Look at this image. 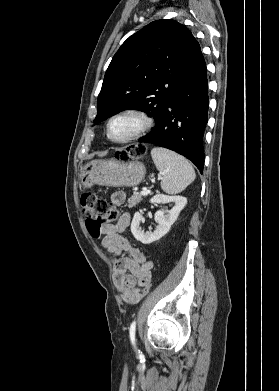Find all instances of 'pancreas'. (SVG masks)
<instances>
[{
	"label": "pancreas",
	"mask_w": 279,
	"mask_h": 391,
	"mask_svg": "<svg viewBox=\"0 0 279 391\" xmlns=\"http://www.w3.org/2000/svg\"><path fill=\"white\" fill-rule=\"evenodd\" d=\"M142 200V195L134 192V194L128 199L129 207L137 205Z\"/></svg>",
	"instance_id": "obj_1"
}]
</instances>
